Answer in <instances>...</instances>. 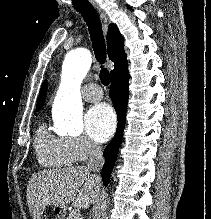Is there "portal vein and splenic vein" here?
Masks as SVG:
<instances>
[{"label":"portal vein and splenic vein","instance_id":"portal-vein-and-splenic-vein-1","mask_svg":"<svg viewBox=\"0 0 211 219\" xmlns=\"http://www.w3.org/2000/svg\"><path fill=\"white\" fill-rule=\"evenodd\" d=\"M71 214L75 216V219H79V217H78V215H77V212H76V211H72V213H71Z\"/></svg>","mask_w":211,"mask_h":219}]
</instances>
